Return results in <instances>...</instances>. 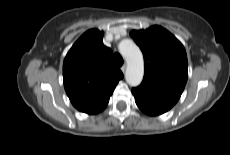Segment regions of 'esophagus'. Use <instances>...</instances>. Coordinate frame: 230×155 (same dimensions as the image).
I'll list each match as a JSON object with an SVG mask.
<instances>
[{
  "instance_id": "1",
  "label": "esophagus",
  "mask_w": 230,
  "mask_h": 155,
  "mask_svg": "<svg viewBox=\"0 0 230 155\" xmlns=\"http://www.w3.org/2000/svg\"><path fill=\"white\" fill-rule=\"evenodd\" d=\"M121 71H122L123 73H125V71H126V64H124V65L121 67Z\"/></svg>"
}]
</instances>
